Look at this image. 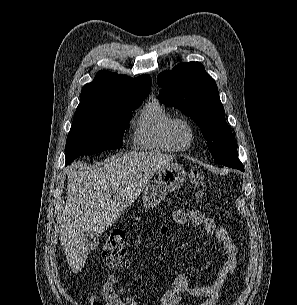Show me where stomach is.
Returning <instances> with one entry per match:
<instances>
[{
	"label": "stomach",
	"instance_id": "0dacf381",
	"mask_svg": "<svg viewBox=\"0 0 297 305\" xmlns=\"http://www.w3.org/2000/svg\"><path fill=\"white\" fill-rule=\"evenodd\" d=\"M185 170L182 165L169 163L158 170L157 180L149 181L143 193V204L145 208H154L161 203L167 191H174L183 185Z\"/></svg>",
	"mask_w": 297,
	"mask_h": 305
}]
</instances>
